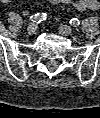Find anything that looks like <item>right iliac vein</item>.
Segmentation results:
<instances>
[{
	"mask_svg": "<svg viewBox=\"0 0 100 118\" xmlns=\"http://www.w3.org/2000/svg\"><path fill=\"white\" fill-rule=\"evenodd\" d=\"M36 30H37V26L33 23H31L27 26V32L29 34H34L36 32Z\"/></svg>",
	"mask_w": 100,
	"mask_h": 118,
	"instance_id": "obj_1",
	"label": "right iliac vein"
}]
</instances>
